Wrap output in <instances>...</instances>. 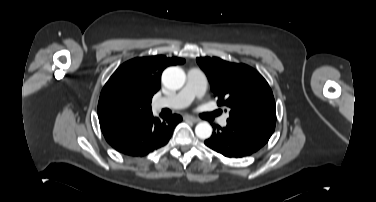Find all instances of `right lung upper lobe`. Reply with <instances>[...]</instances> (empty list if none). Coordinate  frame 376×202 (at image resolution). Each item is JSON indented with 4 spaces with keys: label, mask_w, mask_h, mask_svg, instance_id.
Here are the masks:
<instances>
[{
    "label": "right lung upper lobe",
    "mask_w": 376,
    "mask_h": 202,
    "mask_svg": "<svg viewBox=\"0 0 376 202\" xmlns=\"http://www.w3.org/2000/svg\"><path fill=\"white\" fill-rule=\"evenodd\" d=\"M184 59L151 56L122 64L102 89L98 117L103 133L152 114L151 101L160 89L162 71Z\"/></svg>",
    "instance_id": "1"
}]
</instances>
